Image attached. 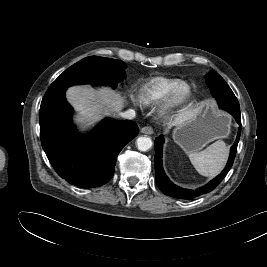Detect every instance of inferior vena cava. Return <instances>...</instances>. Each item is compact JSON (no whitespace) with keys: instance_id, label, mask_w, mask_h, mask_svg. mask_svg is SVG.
<instances>
[{"instance_id":"obj_1","label":"inferior vena cava","mask_w":267,"mask_h":267,"mask_svg":"<svg viewBox=\"0 0 267 267\" xmlns=\"http://www.w3.org/2000/svg\"><path fill=\"white\" fill-rule=\"evenodd\" d=\"M135 111L133 109H129L125 112H120V116L125 119H133L135 118Z\"/></svg>"}]
</instances>
